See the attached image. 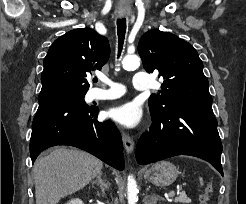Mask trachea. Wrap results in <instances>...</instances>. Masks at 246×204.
I'll list each match as a JSON object with an SVG mask.
<instances>
[{
    "instance_id": "1",
    "label": "trachea",
    "mask_w": 246,
    "mask_h": 204,
    "mask_svg": "<svg viewBox=\"0 0 246 204\" xmlns=\"http://www.w3.org/2000/svg\"><path fill=\"white\" fill-rule=\"evenodd\" d=\"M125 33H126V19H118L117 21V35H118V56H120L122 48H123V43H124V38H125ZM97 79H94V82H97Z\"/></svg>"
}]
</instances>
